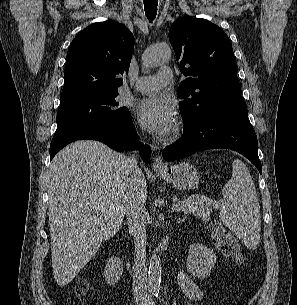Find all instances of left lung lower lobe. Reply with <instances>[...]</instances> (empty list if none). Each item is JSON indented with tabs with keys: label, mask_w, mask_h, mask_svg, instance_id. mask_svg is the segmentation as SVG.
<instances>
[{
	"label": "left lung lower lobe",
	"mask_w": 297,
	"mask_h": 305,
	"mask_svg": "<svg viewBox=\"0 0 297 305\" xmlns=\"http://www.w3.org/2000/svg\"><path fill=\"white\" fill-rule=\"evenodd\" d=\"M183 122L181 138L163 151L165 160H177L207 149L228 148L248 158L261 173L257 137L241 95L211 105L202 114Z\"/></svg>",
	"instance_id": "0a47b994"
}]
</instances>
